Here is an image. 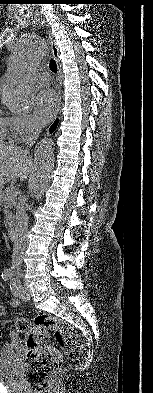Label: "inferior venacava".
<instances>
[{
    "label": "inferior vena cava",
    "instance_id": "602c4592",
    "mask_svg": "<svg viewBox=\"0 0 153 393\" xmlns=\"http://www.w3.org/2000/svg\"><path fill=\"white\" fill-rule=\"evenodd\" d=\"M41 129L38 126L33 127V132L26 142L25 151L29 153V147L33 146L35 140L39 137ZM28 214L26 212V197L20 198L16 211L15 238L13 244L12 266L11 269L19 272L23 261V255L26 247L28 232Z\"/></svg>",
    "mask_w": 153,
    "mask_h": 393
}]
</instances>
